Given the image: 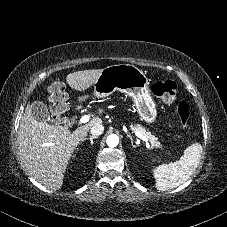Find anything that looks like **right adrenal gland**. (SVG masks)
Listing matches in <instances>:
<instances>
[{
  "label": "right adrenal gland",
  "mask_w": 227,
  "mask_h": 227,
  "mask_svg": "<svg viewBox=\"0 0 227 227\" xmlns=\"http://www.w3.org/2000/svg\"><path fill=\"white\" fill-rule=\"evenodd\" d=\"M98 138L97 136H90L89 138H85V140H90L91 145L93 144V139Z\"/></svg>",
  "instance_id": "1"
}]
</instances>
